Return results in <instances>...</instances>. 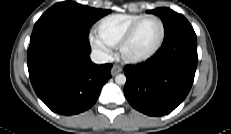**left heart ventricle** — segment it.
<instances>
[{"mask_svg":"<svg viewBox=\"0 0 231 134\" xmlns=\"http://www.w3.org/2000/svg\"><path fill=\"white\" fill-rule=\"evenodd\" d=\"M160 36L161 26L159 22L155 19L145 20L125 47V55L139 57L148 54L158 44Z\"/></svg>","mask_w":231,"mask_h":134,"instance_id":"b2bd125f","label":"left heart ventricle"}]
</instances>
